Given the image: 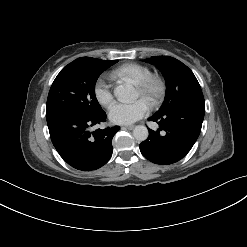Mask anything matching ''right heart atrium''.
Returning a JSON list of instances; mask_svg holds the SVG:
<instances>
[{
    "label": "right heart atrium",
    "mask_w": 247,
    "mask_h": 247,
    "mask_svg": "<svg viewBox=\"0 0 247 247\" xmlns=\"http://www.w3.org/2000/svg\"><path fill=\"white\" fill-rule=\"evenodd\" d=\"M94 95L97 101L104 107H108L113 102V93L108 84V78L101 76L94 85Z\"/></svg>",
    "instance_id": "obj_1"
}]
</instances>
